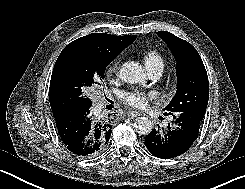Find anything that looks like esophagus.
I'll use <instances>...</instances> for the list:
<instances>
[{"mask_svg":"<svg viewBox=\"0 0 245 189\" xmlns=\"http://www.w3.org/2000/svg\"><path fill=\"white\" fill-rule=\"evenodd\" d=\"M126 115L130 119H135L139 115V113L137 111H129Z\"/></svg>","mask_w":245,"mask_h":189,"instance_id":"obj_1","label":"esophagus"}]
</instances>
